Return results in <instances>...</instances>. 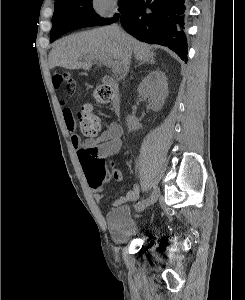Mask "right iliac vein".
<instances>
[{"label":"right iliac vein","mask_w":245,"mask_h":300,"mask_svg":"<svg viewBox=\"0 0 245 300\" xmlns=\"http://www.w3.org/2000/svg\"><path fill=\"white\" fill-rule=\"evenodd\" d=\"M158 197H159V190L156 187H154L151 196L148 199H145V200L142 201L143 205H141V206L136 205L135 206L136 212L140 213V212L144 211L145 208H147L148 206H150L154 202H156Z\"/></svg>","instance_id":"63e3f726"}]
</instances>
